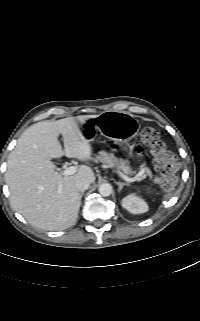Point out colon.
<instances>
[{"label": "colon", "instance_id": "obj_1", "mask_svg": "<svg viewBox=\"0 0 200 321\" xmlns=\"http://www.w3.org/2000/svg\"><path fill=\"white\" fill-rule=\"evenodd\" d=\"M141 143L149 148L154 157V167L163 178V186L171 189L177 183V158L169 151L153 128H146L141 134Z\"/></svg>", "mask_w": 200, "mask_h": 321}]
</instances>
